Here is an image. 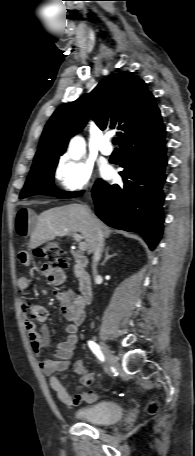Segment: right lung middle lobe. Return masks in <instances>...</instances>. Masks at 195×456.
<instances>
[{
    "label": "right lung middle lobe",
    "mask_w": 195,
    "mask_h": 456,
    "mask_svg": "<svg viewBox=\"0 0 195 456\" xmlns=\"http://www.w3.org/2000/svg\"><path fill=\"white\" fill-rule=\"evenodd\" d=\"M58 159L47 160L32 166L20 198L37 194L50 195L58 198H74L82 192H65L58 190L53 184L54 171Z\"/></svg>",
    "instance_id": "1"
}]
</instances>
